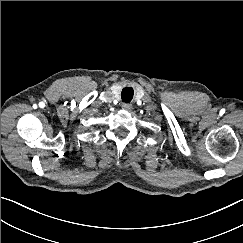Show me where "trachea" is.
Returning a JSON list of instances; mask_svg holds the SVG:
<instances>
[{
    "label": "trachea",
    "instance_id": "obj_1",
    "mask_svg": "<svg viewBox=\"0 0 243 243\" xmlns=\"http://www.w3.org/2000/svg\"><path fill=\"white\" fill-rule=\"evenodd\" d=\"M122 101L125 103H129L133 97V89L132 88H124L121 93Z\"/></svg>",
    "mask_w": 243,
    "mask_h": 243
}]
</instances>
